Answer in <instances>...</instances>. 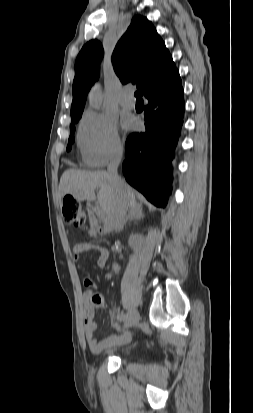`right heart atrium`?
<instances>
[{
  "label": "right heart atrium",
  "mask_w": 253,
  "mask_h": 413,
  "mask_svg": "<svg viewBox=\"0 0 253 413\" xmlns=\"http://www.w3.org/2000/svg\"><path fill=\"white\" fill-rule=\"evenodd\" d=\"M77 140L84 161L90 167H103L118 158L122 152L117 122L107 114L86 112Z\"/></svg>",
  "instance_id": "obj_1"
}]
</instances>
